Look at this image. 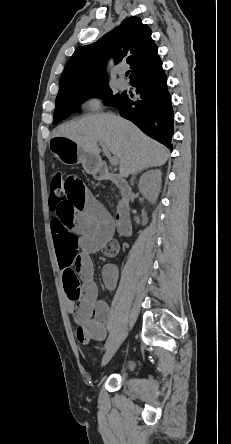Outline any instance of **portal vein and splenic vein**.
Returning a JSON list of instances; mask_svg holds the SVG:
<instances>
[{"label": "portal vein and splenic vein", "mask_w": 231, "mask_h": 444, "mask_svg": "<svg viewBox=\"0 0 231 444\" xmlns=\"http://www.w3.org/2000/svg\"><path fill=\"white\" fill-rule=\"evenodd\" d=\"M99 145L102 147V149L104 150V152L109 153V152H108V148L106 147L105 144H103V143H99ZM109 161H110V164H111L112 166H116V165L118 164V159L116 158V156H110V157H109Z\"/></svg>", "instance_id": "1"}]
</instances>
